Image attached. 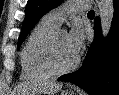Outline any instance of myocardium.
Returning a JSON list of instances; mask_svg holds the SVG:
<instances>
[{
  "label": "myocardium",
  "instance_id": "f54148a6",
  "mask_svg": "<svg viewBox=\"0 0 119 95\" xmlns=\"http://www.w3.org/2000/svg\"><path fill=\"white\" fill-rule=\"evenodd\" d=\"M58 31H54L48 38L43 52V59L47 69L52 75H61L73 71L79 64V57L77 56L74 62L66 67H60L55 61V40Z\"/></svg>",
  "mask_w": 119,
  "mask_h": 95
}]
</instances>
